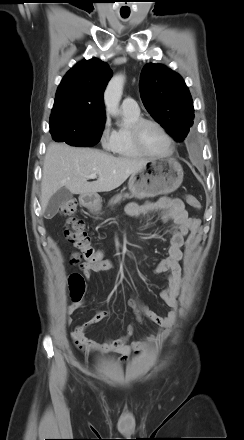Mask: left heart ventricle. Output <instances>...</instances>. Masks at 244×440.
I'll return each instance as SVG.
<instances>
[{
	"label": "left heart ventricle",
	"instance_id": "left-heart-ventricle-1",
	"mask_svg": "<svg viewBox=\"0 0 244 440\" xmlns=\"http://www.w3.org/2000/svg\"><path fill=\"white\" fill-rule=\"evenodd\" d=\"M141 136L144 148L150 153L163 154L168 151V140L156 126L146 125L142 129Z\"/></svg>",
	"mask_w": 244,
	"mask_h": 440
}]
</instances>
